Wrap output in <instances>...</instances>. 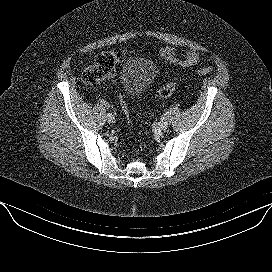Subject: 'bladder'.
<instances>
[{
    "label": "bladder",
    "mask_w": 272,
    "mask_h": 272,
    "mask_svg": "<svg viewBox=\"0 0 272 272\" xmlns=\"http://www.w3.org/2000/svg\"><path fill=\"white\" fill-rule=\"evenodd\" d=\"M155 75L156 69L151 61L145 58H134L122 66L119 78L127 95L138 96L151 86Z\"/></svg>",
    "instance_id": "31cf9c89"
}]
</instances>
